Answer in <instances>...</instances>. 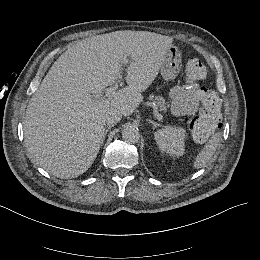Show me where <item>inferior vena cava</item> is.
Here are the masks:
<instances>
[{"label":"inferior vena cava","instance_id":"1","mask_svg":"<svg viewBox=\"0 0 260 260\" xmlns=\"http://www.w3.org/2000/svg\"><path fill=\"white\" fill-rule=\"evenodd\" d=\"M121 118H122V114L118 110L114 109V110L109 111L106 114L105 123H107L108 125H114V124L118 123L121 120ZM103 129H104V127H103L102 123H100L95 126L94 132L100 133L101 130H103Z\"/></svg>","mask_w":260,"mask_h":260}]
</instances>
